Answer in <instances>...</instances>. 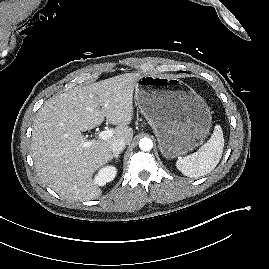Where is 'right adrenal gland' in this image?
Wrapping results in <instances>:
<instances>
[{
  "mask_svg": "<svg viewBox=\"0 0 269 269\" xmlns=\"http://www.w3.org/2000/svg\"><path fill=\"white\" fill-rule=\"evenodd\" d=\"M121 152H122V151L117 152V153H114V154L112 155V157H111V160H112L113 158H116V160L118 161V159H119V154H121Z\"/></svg>",
  "mask_w": 269,
  "mask_h": 269,
  "instance_id": "right-adrenal-gland-1",
  "label": "right adrenal gland"
}]
</instances>
